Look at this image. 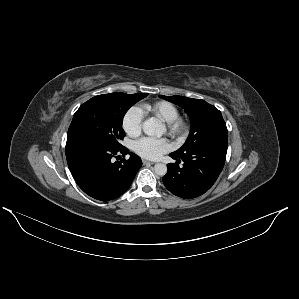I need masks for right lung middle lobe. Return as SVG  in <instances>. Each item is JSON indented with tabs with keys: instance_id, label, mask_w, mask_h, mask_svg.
Instances as JSON below:
<instances>
[{
	"instance_id": "right-lung-middle-lobe-1",
	"label": "right lung middle lobe",
	"mask_w": 299,
	"mask_h": 299,
	"mask_svg": "<svg viewBox=\"0 0 299 299\" xmlns=\"http://www.w3.org/2000/svg\"><path fill=\"white\" fill-rule=\"evenodd\" d=\"M148 93H111L95 96L82 104L73 116L67 142L91 139L121 147L125 136L122 121L127 110Z\"/></svg>"
}]
</instances>
